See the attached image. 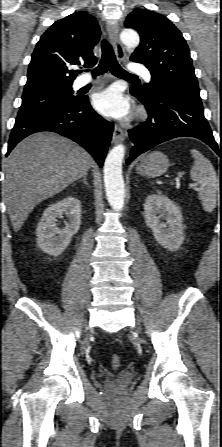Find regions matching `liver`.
Returning <instances> with one entry per match:
<instances>
[{"label":"liver","mask_w":222,"mask_h":447,"mask_svg":"<svg viewBox=\"0 0 222 447\" xmlns=\"http://www.w3.org/2000/svg\"><path fill=\"white\" fill-rule=\"evenodd\" d=\"M88 152L55 133H36L21 141L4 164L3 192L18 232L33 208L87 174Z\"/></svg>","instance_id":"1"}]
</instances>
